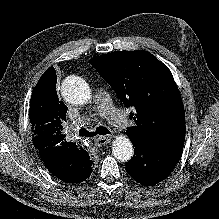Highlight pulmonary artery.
<instances>
[{"label": "pulmonary artery", "instance_id": "1", "mask_svg": "<svg viewBox=\"0 0 219 219\" xmlns=\"http://www.w3.org/2000/svg\"><path fill=\"white\" fill-rule=\"evenodd\" d=\"M94 101L101 115L110 123L119 128H125L128 125L125 114L114 106L109 94L104 89L99 88L95 90Z\"/></svg>", "mask_w": 219, "mask_h": 219}]
</instances>
